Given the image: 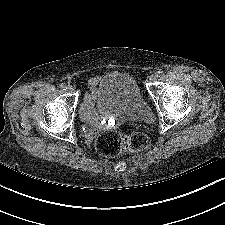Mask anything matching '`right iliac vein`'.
I'll return each mask as SVG.
<instances>
[{
    "instance_id": "right-iliac-vein-1",
    "label": "right iliac vein",
    "mask_w": 225,
    "mask_h": 225,
    "mask_svg": "<svg viewBox=\"0 0 225 225\" xmlns=\"http://www.w3.org/2000/svg\"><path fill=\"white\" fill-rule=\"evenodd\" d=\"M67 90H68V92L73 93L74 92V87L73 86H68Z\"/></svg>"
}]
</instances>
